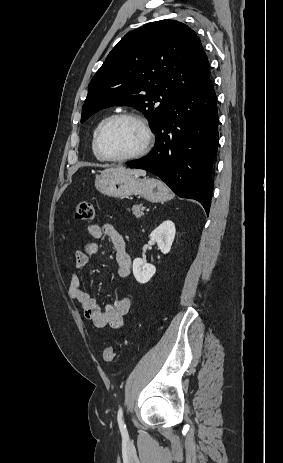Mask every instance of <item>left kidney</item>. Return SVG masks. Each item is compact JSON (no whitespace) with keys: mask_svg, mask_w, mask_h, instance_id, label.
Here are the masks:
<instances>
[{"mask_svg":"<svg viewBox=\"0 0 283 463\" xmlns=\"http://www.w3.org/2000/svg\"><path fill=\"white\" fill-rule=\"evenodd\" d=\"M176 234L175 224L171 220L162 222L150 234V239L155 241L163 254L171 250L172 243ZM154 265L147 263L141 258H135L133 261V274L135 279L141 283H147L155 274Z\"/></svg>","mask_w":283,"mask_h":463,"instance_id":"5707ae66","label":"left kidney"}]
</instances>
